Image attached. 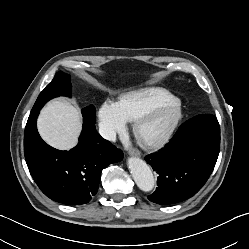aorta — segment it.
<instances>
[{
	"instance_id": "762f6f07",
	"label": "aorta",
	"mask_w": 249,
	"mask_h": 249,
	"mask_svg": "<svg viewBox=\"0 0 249 249\" xmlns=\"http://www.w3.org/2000/svg\"><path fill=\"white\" fill-rule=\"evenodd\" d=\"M128 168L136 185L144 192H149L154 188L155 180L150 167L142 159L130 157Z\"/></svg>"
}]
</instances>
